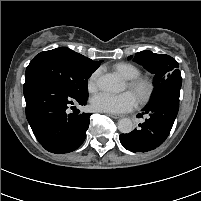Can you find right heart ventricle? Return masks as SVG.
<instances>
[{
  "mask_svg": "<svg viewBox=\"0 0 201 201\" xmlns=\"http://www.w3.org/2000/svg\"><path fill=\"white\" fill-rule=\"evenodd\" d=\"M114 70L126 80L137 78L140 75V70L138 67L126 62L115 64Z\"/></svg>",
  "mask_w": 201,
  "mask_h": 201,
  "instance_id": "e07e8e85",
  "label": "right heart ventricle"
}]
</instances>
